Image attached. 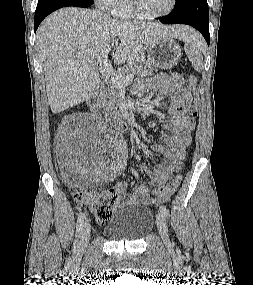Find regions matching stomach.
Masks as SVG:
<instances>
[{
	"instance_id": "0dacf381",
	"label": "stomach",
	"mask_w": 253,
	"mask_h": 285,
	"mask_svg": "<svg viewBox=\"0 0 253 285\" xmlns=\"http://www.w3.org/2000/svg\"><path fill=\"white\" fill-rule=\"evenodd\" d=\"M146 51L151 66L160 69L176 66L182 55L180 46L169 37L154 42Z\"/></svg>"
}]
</instances>
